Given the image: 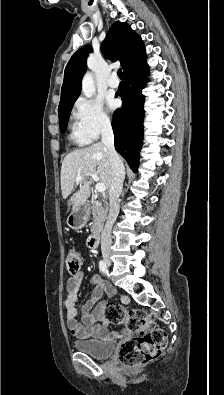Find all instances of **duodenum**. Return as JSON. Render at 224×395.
<instances>
[{
    "instance_id": "obj_1",
    "label": "duodenum",
    "mask_w": 224,
    "mask_h": 395,
    "mask_svg": "<svg viewBox=\"0 0 224 395\" xmlns=\"http://www.w3.org/2000/svg\"><path fill=\"white\" fill-rule=\"evenodd\" d=\"M99 239H100L99 230L98 229L93 230L88 238V246L92 249L96 248L99 243Z\"/></svg>"
}]
</instances>
